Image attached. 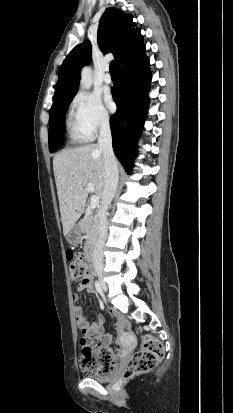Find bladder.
Here are the masks:
<instances>
[{"label": "bladder", "mask_w": 233, "mask_h": 413, "mask_svg": "<svg viewBox=\"0 0 233 413\" xmlns=\"http://www.w3.org/2000/svg\"><path fill=\"white\" fill-rule=\"evenodd\" d=\"M112 376H113L112 372L108 373L106 375H100V374H96V373L88 375L89 378H91L93 380H96V381H100V382L109 381L112 378Z\"/></svg>", "instance_id": "31cf9c89"}]
</instances>
